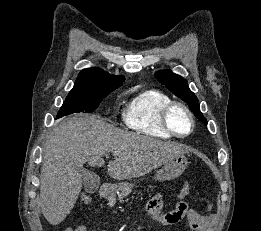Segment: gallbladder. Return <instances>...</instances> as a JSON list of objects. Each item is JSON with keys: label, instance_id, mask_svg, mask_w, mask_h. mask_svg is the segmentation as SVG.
I'll use <instances>...</instances> for the list:
<instances>
[{"label": "gallbladder", "instance_id": "bac80fb5", "mask_svg": "<svg viewBox=\"0 0 261 231\" xmlns=\"http://www.w3.org/2000/svg\"><path fill=\"white\" fill-rule=\"evenodd\" d=\"M78 173L87 192H93L99 187V177L85 168H80Z\"/></svg>", "mask_w": 261, "mask_h": 231}]
</instances>
